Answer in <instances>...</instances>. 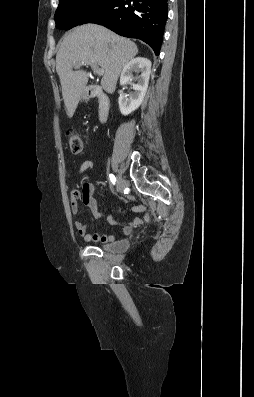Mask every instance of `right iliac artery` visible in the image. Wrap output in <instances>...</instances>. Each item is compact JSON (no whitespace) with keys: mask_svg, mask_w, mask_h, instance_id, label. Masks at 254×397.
<instances>
[{"mask_svg":"<svg viewBox=\"0 0 254 397\" xmlns=\"http://www.w3.org/2000/svg\"><path fill=\"white\" fill-rule=\"evenodd\" d=\"M109 178H110L111 183H112L113 185H115V183H116V178H115V176H114L113 174H110V175H109Z\"/></svg>","mask_w":254,"mask_h":397,"instance_id":"obj_1","label":"right iliac artery"}]
</instances>
